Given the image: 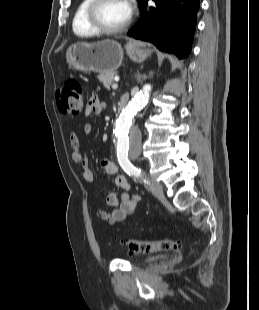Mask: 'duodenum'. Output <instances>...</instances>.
Returning <instances> with one entry per match:
<instances>
[{"label": "duodenum", "mask_w": 259, "mask_h": 310, "mask_svg": "<svg viewBox=\"0 0 259 310\" xmlns=\"http://www.w3.org/2000/svg\"><path fill=\"white\" fill-rule=\"evenodd\" d=\"M128 101H129V97L128 96H123L120 99V102H119V109L123 110L126 107Z\"/></svg>", "instance_id": "410a0bca"}]
</instances>
